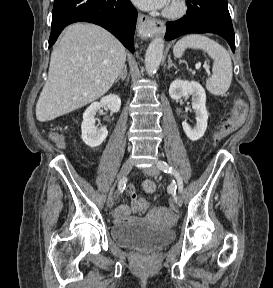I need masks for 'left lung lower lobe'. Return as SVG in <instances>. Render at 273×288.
Here are the masks:
<instances>
[{"instance_id":"0a47b994","label":"left lung lower lobe","mask_w":273,"mask_h":288,"mask_svg":"<svg viewBox=\"0 0 273 288\" xmlns=\"http://www.w3.org/2000/svg\"><path fill=\"white\" fill-rule=\"evenodd\" d=\"M187 14L166 23V40L189 33H214L222 36L235 52L234 31L227 0H189Z\"/></svg>"}]
</instances>
